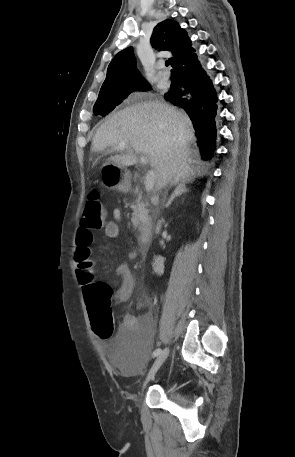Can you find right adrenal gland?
<instances>
[{
	"label": "right adrenal gland",
	"instance_id": "1",
	"mask_svg": "<svg viewBox=\"0 0 295 457\" xmlns=\"http://www.w3.org/2000/svg\"><path fill=\"white\" fill-rule=\"evenodd\" d=\"M189 183H192V180H190V179H182V180H180V182L177 183L176 189H175L174 192L171 194V196L169 197V199H168V201H167V203H166V207H167V208L171 205L172 201H173L176 197L182 195L183 193H186V192H189V191H190V189L187 188V186H186V185L189 184Z\"/></svg>",
	"mask_w": 295,
	"mask_h": 457
}]
</instances>
